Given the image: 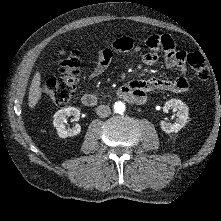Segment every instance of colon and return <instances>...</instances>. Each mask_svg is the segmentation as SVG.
Returning <instances> with one entry per match:
<instances>
[{"label":"colon","instance_id":"1","mask_svg":"<svg viewBox=\"0 0 221 221\" xmlns=\"http://www.w3.org/2000/svg\"><path fill=\"white\" fill-rule=\"evenodd\" d=\"M186 62L191 66L196 78L204 82L209 77V69L200 53L186 55ZM80 68L79 52L73 48L59 51L58 70L60 75L51 77L43 85V93L59 106L67 104L74 96Z\"/></svg>","mask_w":221,"mask_h":221}]
</instances>
